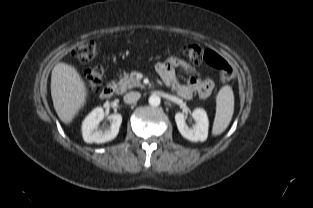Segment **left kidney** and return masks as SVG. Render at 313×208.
Returning <instances> with one entry per match:
<instances>
[{
	"instance_id": "1",
	"label": "left kidney",
	"mask_w": 313,
	"mask_h": 208,
	"mask_svg": "<svg viewBox=\"0 0 313 208\" xmlns=\"http://www.w3.org/2000/svg\"><path fill=\"white\" fill-rule=\"evenodd\" d=\"M192 117L196 121V124L192 128H189L185 123V115L180 112L176 113L175 121L177 128L184 138L193 142H203L207 139L208 136L209 121L207 114L205 110L197 108L192 112Z\"/></svg>"
}]
</instances>
